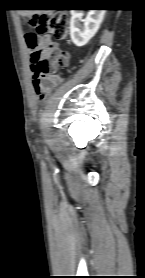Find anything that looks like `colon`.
<instances>
[{
  "instance_id": "1",
  "label": "colon",
  "mask_w": 145,
  "mask_h": 278,
  "mask_svg": "<svg viewBox=\"0 0 145 278\" xmlns=\"http://www.w3.org/2000/svg\"><path fill=\"white\" fill-rule=\"evenodd\" d=\"M27 24L34 29L24 34L27 47L32 50L30 55L33 78L36 82L46 75H55L56 70L65 65L69 56L53 43H41L38 34H49L56 38H65L68 33V17L65 14H47L41 17L27 19ZM49 84L58 83V78L53 77ZM39 98L44 97V92L36 84Z\"/></svg>"
}]
</instances>
